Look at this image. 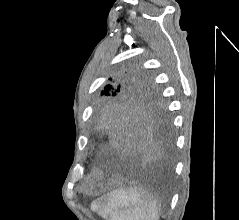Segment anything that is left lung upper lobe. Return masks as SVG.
Masks as SVG:
<instances>
[{"instance_id": "5c2ea615", "label": "left lung upper lobe", "mask_w": 239, "mask_h": 220, "mask_svg": "<svg viewBox=\"0 0 239 220\" xmlns=\"http://www.w3.org/2000/svg\"><path fill=\"white\" fill-rule=\"evenodd\" d=\"M101 92L102 99L95 105V122L98 115L107 108L125 106L133 110L144 109L163 112V102L157 88L150 83L146 72L131 71L119 73Z\"/></svg>"}]
</instances>
